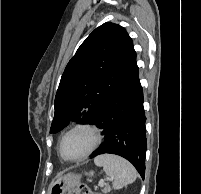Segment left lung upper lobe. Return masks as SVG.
<instances>
[{"instance_id":"5c2ea615","label":"left lung upper lobe","mask_w":201,"mask_h":194,"mask_svg":"<svg viewBox=\"0 0 201 194\" xmlns=\"http://www.w3.org/2000/svg\"><path fill=\"white\" fill-rule=\"evenodd\" d=\"M136 61L133 41L114 23L96 28L68 62L55 97L50 133L71 121L93 123Z\"/></svg>"}]
</instances>
